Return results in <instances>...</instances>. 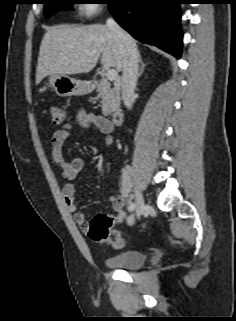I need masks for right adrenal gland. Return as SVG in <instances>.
Here are the masks:
<instances>
[{"label": "right adrenal gland", "mask_w": 236, "mask_h": 321, "mask_svg": "<svg viewBox=\"0 0 236 321\" xmlns=\"http://www.w3.org/2000/svg\"><path fill=\"white\" fill-rule=\"evenodd\" d=\"M139 63H140V69H139V74H138V76L141 77V75H142V73H143V71H144V68H145V66H146L147 64H145V63L143 62L142 57H141L140 54H139Z\"/></svg>", "instance_id": "obj_1"}]
</instances>
